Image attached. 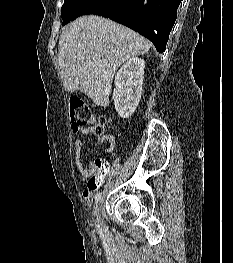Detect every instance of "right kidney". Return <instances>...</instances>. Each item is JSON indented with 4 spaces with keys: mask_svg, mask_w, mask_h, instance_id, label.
I'll use <instances>...</instances> for the list:
<instances>
[{
    "mask_svg": "<svg viewBox=\"0 0 233 263\" xmlns=\"http://www.w3.org/2000/svg\"><path fill=\"white\" fill-rule=\"evenodd\" d=\"M144 59L133 57L126 61L115 76L114 106L123 119L133 114L142 95Z\"/></svg>",
    "mask_w": 233,
    "mask_h": 263,
    "instance_id": "1",
    "label": "right kidney"
}]
</instances>
